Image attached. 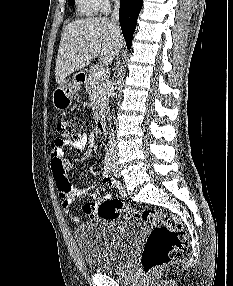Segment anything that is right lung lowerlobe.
Returning <instances> with one entry per match:
<instances>
[{"instance_id": "right-lung-lower-lobe-1", "label": "right lung lower lobe", "mask_w": 233, "mask_h": 286, "mask_svg": "<svg viewBox=\"0 0 233 286\" xmlns=\"http://www.w3.org/2000/svg\"><path fill=\"white\" fill-rule=\"evenodd\" d=\"M142 8V0H121L119 21L127 48L130 49L138 14Z\"/></svg>"}]
</instances>
